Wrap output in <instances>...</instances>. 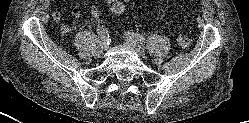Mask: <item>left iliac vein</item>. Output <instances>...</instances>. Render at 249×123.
<instances>
[{
  "mask_svg": "<svg viewBox=\"0 0 249 123\" xmlns=\"http://www.w3.org/2000/svg\"><path fill=\"white\" fill-rule=\"evenodd\" d=\"M125 41L130 45L140 56L144 57L145 52L141 47V44L134 38L130 37L128 34L125 35Z\"/></svg>",
  "mask_w": 249,
  "mask_h": 123,
  "instance_id": "1",
  "label": "left iliac vein"
}]
</instances>
